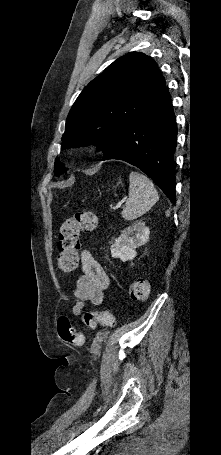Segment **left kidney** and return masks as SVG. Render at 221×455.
<instances>
[{"label":"left kidney","mask_w":221,"mask_h":455,"mask_svg":"<svg viewBox=\"0 0 221 455\" xmlns=\"http://www.w3.org/2000/svg\"><path fill=\"white\" fill-rule=\"evenodd\" d=\"M149 234V228L143 222L126 228L111 245L112 257L123 262L134 259L137 255L136 249L147 242Z\"/></svg>","instance_id":"left-kidney-1"}]
</instances>
